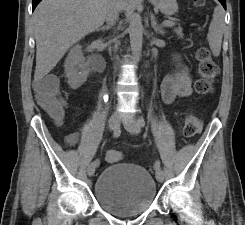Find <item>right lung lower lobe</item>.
I'll list each match as a JSON object with an SVG mask.
<instances>
[{
  "instance_id": "obj_1",
  "label": "right lung lower lobe",
  "mask_w": 245,
  "mask_h": 225,
  "mask_svg": "<svg viewBox=\"0 0 245 225\" xmlns=\"http://www.w3.org/2000/svg\"><path fill=\"white\" fill-rule=\"evenodd\" d=\"M41 0H33V10Z\"/></svg>"
}]
</instances>
